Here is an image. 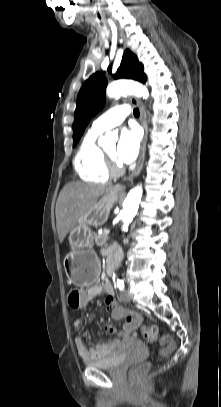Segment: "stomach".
I'll list each match as a JSON object with an SVG mask.
<instances>
[{"instance_id":"obj_1","label":"stomach","mask_w":221,"mask_h":407,"mask_svg":"<svg viewBox=\"0 0 221 407\" xmlns=\"http://www.w3.org/2000/svg\"><path fill=\"white\" fill-rule=\"evenodd\" d=\"M118 197L112 190L104 193L92 210L70 231L71 251L65 256L63 265L70 280L77 286L92 284L98 277L100 266L98 257L91 249L95 235L90 226H101L107 221Z\"/></svg>"}]
</instances>
